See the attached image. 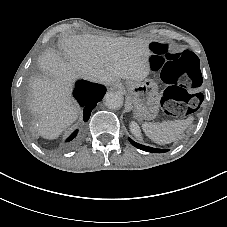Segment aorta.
<instances>
[{
    "instance_id": "1",
    "label": "aorta",
    "mask_w": 227,
    "mask_h": 227,
    "mask_svg": "<svg viewBox=\"0 0 227 227\" xmlns=\"http://www.w3.org/2000/svg\"><path fill=\"white\" fill-rule=\"evenodd\" d=\"M105 105L109 109H118L123 106V95L117 91H111L105 95Z\"/></svg>"
}]
</instances>
